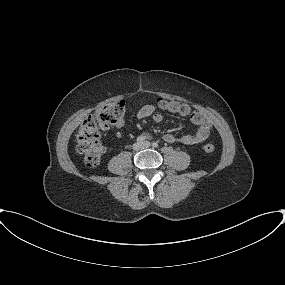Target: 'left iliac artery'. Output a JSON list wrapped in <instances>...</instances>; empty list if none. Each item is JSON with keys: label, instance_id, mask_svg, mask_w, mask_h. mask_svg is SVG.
<instances>
[{"label": "left iliac artery", "instance_id": "1", "mask_svg": "<svg viewBox=\"0 0 285 285\" xmlns=\"http://www.w3.org/2000/svg\"><path fill=\"white\" fill-rule=\"evenodd\" d=\"M152 145H153V147H155V148L158 147V143H157V142H154Z\"/></svg>", "mask_w": 285, "mask_h": 285}]
</instances>
